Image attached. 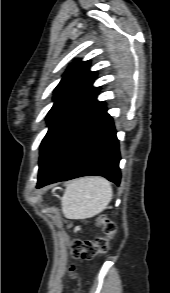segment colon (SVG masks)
I'll return each mask as SVG.
<instances>
[{"instance_id": "colon-1", "label": "colon", "mask_w": 170, "mask_h": 293, "mask_svg": "<svg viewBox=\"0 0 170 293\" xmlns=\"http://www.w3.org/2000/svg\"><path fill=\"white\" fill-rule=\"evenodd\" d=\"M96 223L101 227L103 235L94 239L75 240L71 244V256L78 260H92L95 256L108 250L109 241L116 232V225L105 216L96 218ZM72 272L74 268L71 269Z\"/></svg>"}]
</instances>
